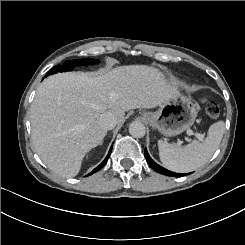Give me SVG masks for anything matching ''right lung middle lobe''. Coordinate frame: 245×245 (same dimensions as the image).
Returning a JSON list of instances; mask_svg holds the SVG:
<instances>
[{
  "label": "right lung middle lobe",
  "instance_id": "dd1d6c3e",
  "mask_svg": "<svg viewBox=\"0 0 245 245\" xmlns=\"http://www.w3.org/2000/svg\"><path fill=\"white\" fill-rule=\"evenodd\" d=\"M99 61L95 60V59H90V58H86V59H77V60H73V61H66L63 65H57L54 68H52L46 76H49L50 74H54L57 72H66V71H70L73 68V65H86V64H97Z\"/></svg>",
  "mask_w": 245,
  "mask_h": 245
}]
</instances>
